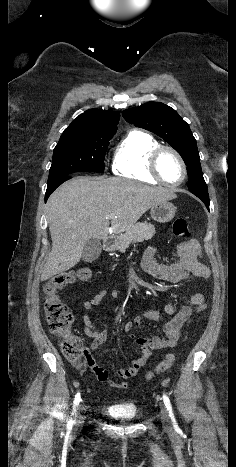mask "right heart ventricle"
Masks as SVG:
<instances>
[{
	"label": "right heart ventricle",
	"mask_w": 236,
	"mask_h": 467,
	"mask_svg": "<svg viewBox=\"0 0 236 467\" xmlns=\"http://www.w3.org/2000/svg\"><path fill=\"white\" fill-rule=\"evenodd\" d=\"M160 146L149 133L131 130L116 147L112 170L114 174L150 184L159 183L149 171L150 153Z\"/></svg>",
	"instance_id": "1"
}]
</instances>
